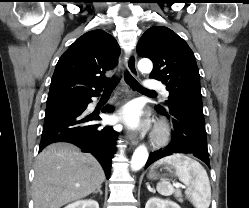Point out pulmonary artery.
<instances>
[{"label":"pulmonary artery","mask_w":249,"mask_h":208,"mask_svg":"<svg viewBox=\"0 0 249 208\" xmlns=\"http://www.w3.org/2000/svg\"><path fill=\"white\" fill-rule=\"evenodd\" d=\"M143 88H145L148 91L158 90L162 93L165 99H167L169 95L168 91L164 88V86L153 79H145L143 82Z\"/></svg>","instance_id":"obj_1"}]
</instances>
